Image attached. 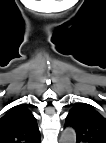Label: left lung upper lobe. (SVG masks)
<instances>
[{"instance_id": "1", "label": "left lung upper lobe", "mask_w": 106, "mask_h": 143, "mask_svg": "<svg viewBox=\"0 0 106 143\" xmlns=\"http://www.w3.org/2000/svg\"><path fill=\"white\" fill-rule=\"evenodd\" d=\"M65 126L75 129L78 143H106V118L88 104L73 107Z\"/></svg>"}]
</instances>
